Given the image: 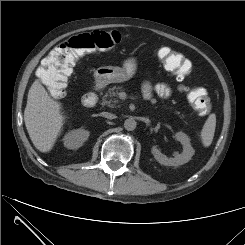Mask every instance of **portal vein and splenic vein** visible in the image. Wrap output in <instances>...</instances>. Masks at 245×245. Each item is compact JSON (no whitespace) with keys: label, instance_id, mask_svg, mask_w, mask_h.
Returning a JSON list of instances; mask_svg holds the SVG:
<instances>
[{"label":"portal vein and splenic vein","instance_id":"portal-vein-and-splenic-vein-1","mask_svg":"<svg viewBox=\"0 0 245 245\" xmlns=\"http://www.w3.org/2000/svg\"><path fill=\"white\" fill-rule=\"evenodd\" d=\"M120 98H121L122 100H125V99L127 98L126 93H124V92L120 93Z\"/></svg>","mask_w":245,"mask_h":245}]
</instances>
